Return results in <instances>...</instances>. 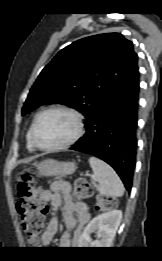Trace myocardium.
Segmentation results:
<instances>
[{
  "mask_svg": "<svg viewBox=\"0 0 162 261\" xmlns=\"http://www.w3.org/2000/svg\"><path fill=\"white\" fill-rule=\"evenodd\" d=\"M52 111H63V112L70 114L71 116H73V118L75 120V124H76V129H75L74 134L69 139H67L65 142L60 143L55 146L44 147V146L39 145L36 140V127H37V124H38L40 118L44 114L52 112ZM83 132H84V119H83L82 114L79 111H77L75 108L67 106V105H52L50 107H47V108L41 110L35 116V119L33 121L31 130H30V138H31L32 146L35 149L44 151V152H55V151L66 149V148L72 146L73 144H75L81 138V136L83 135Z\"/></svg>",
  "mask_w": 162,
  "mask_h": 261,
  "instance_id": "obj_1",
  "label": "myocardium"
}]
</instances>
